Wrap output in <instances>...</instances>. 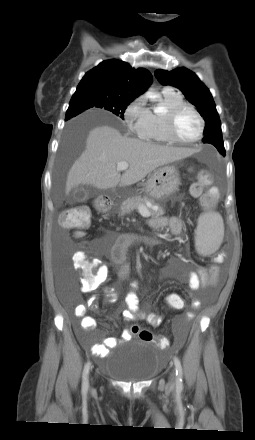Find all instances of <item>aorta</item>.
Wrapping results in <instances>:
<instances>
[{"label": "aorta", "mask_w": 255, "mask_h": 440, "mask_svg": "<svg viewBox=\"0 0 255 440\" xmlns=\"http://www.w3.org/2000/svg\"><path fill=\"white\" fill-rule=\"evenodd\" d=\"M148 96H149V97H152V95H151V94H149V93H148Z\"/></svg>", "instance_id": "762f6f07"}]
</instances>
